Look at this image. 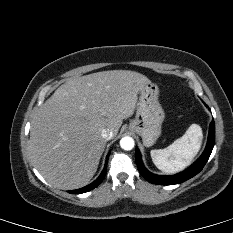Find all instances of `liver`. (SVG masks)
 Wrapping results in <instances>:
<instances>
[{
    "label": "liver",
    "instance_id": "6515ba94",
    "mask_svg": "<svg viewBox=\"0 0 233 233\" xmlns=\"http://www.w3.org/2000/svg\"><path fill=\"white\" fill-rule=\"evenodd\" d=\"M150 80L135 71L111 70L70 78L45 101L30 130L31 159L42 177L60 189L89 183L106 146L131 117L139 89Z\"/></svg>",
    "mask_w": 233,
    "mask_h": 233
}]
</instances>
